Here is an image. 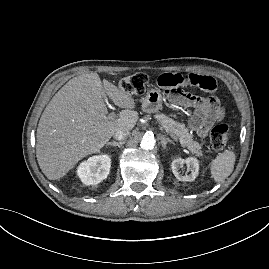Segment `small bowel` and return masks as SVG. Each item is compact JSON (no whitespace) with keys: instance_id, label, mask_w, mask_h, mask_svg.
I'll use <instances>...</instances> for the list:
<instances>
[{"instance_id":"small-bowel-1","label":"small bowel","mask_w":269,"mask_h":269,"mask_svg":"<svg viewBox=\"0 0 269 269\" xmlns=\"http://www.w3.org/2000/svg\"><path fill=\"white\" fill-rule=\"evenodd\" d=\"M157 81L160 86L169 89L180 86H194L202 89V94L205 90L216 91V85L212 77L205 74L180 75L171 72L160 75ZM172 99L177 103L190 105L196 109V113L191 120V126L201 138H205L210 127L224 117V109L219 101L213 102L204 97L200 98L178 90L172 93Z\"/></svg>"}]
</instances>
